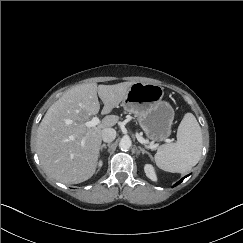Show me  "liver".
Masks as SVG:
<instances>
[{"label":"liver","mask_w":243,"mask_h":243,"mask_svg":"<svg viewBox=\"0 0 243 243\" xmlns=\"http://www.w3.org/2000/svg\"><path fill=\"white\" fill-rule=\"evenodd\" d=\"M133 82L115 85L88 83L66 91L46 112L37 130V152L46 172L65 184H78L95 173L102 130L114 126L119 117L107 115L125 98ZM104 104L101 123L86 122Z\"/></svg>","instance_id":"liver-1"}]
</instances>
